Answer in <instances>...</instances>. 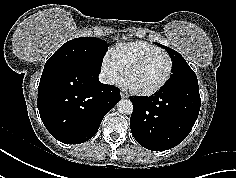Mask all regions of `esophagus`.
Returning a JSON list of instances; mask_svg holds the SVG:
<instances>
[{"label":"esophagus","instance_id":"obj_1","mask_svg":"<svg viewBox=\"0 0 236 178\" xmlns=\"http://www.w3.org/2000/svg\"><path fill=\"white\" fill-rule=\"evenodd\" d=\"M120 97L121 98H126V95L123 92H120Z\"/></svg>","mask_w":236,"mask_h":178}]
</instances>
